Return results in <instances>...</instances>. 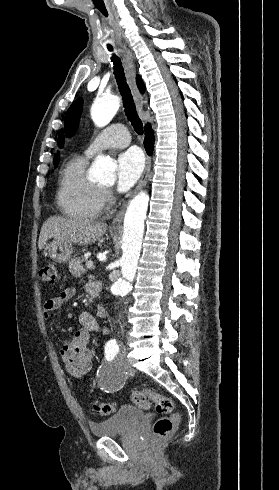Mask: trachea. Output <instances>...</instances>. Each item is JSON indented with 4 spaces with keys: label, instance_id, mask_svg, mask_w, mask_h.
I'll list each match as a JSON object with an SVG mask.
<instances>
[{
    "label": "trachea",
    "instance_id": "trachea-1",
    "mask_svg": "<svg viewBox=\"0 0 279 490\" xmlns=\"http://www.w3.org/2000/svg\"><path fill=\"white\" fill-rule=\"evenodd\" d=\"M109 50H112V47H109ZM112 62H114V75L117 80L119 91L123 98L127 118L131 122L135 132L138 133V135H142L143 124L139 116L137 115L135 105L133 103L131 91L126 83V78L124 75V70L122 68L121 61L116 55H113Z\"/></svg>",
    "mask_w": 279,
    "mask_h": 490
}]
</instances>
